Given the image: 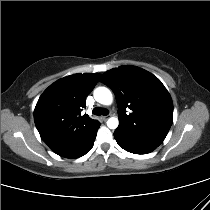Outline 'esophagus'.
<instances>
[{"label": "esophagus", "mask_w": 210, "mask_h": 210, "mask_svg": "<svg viewBox=\"0 0 210 210\" xmlns=\"http://www.w3.org/2000/svg\"><path fill=\"white\" fill-rule=\"evenodd\" d=\"M107 119H108V116H102V117H101V120H102V121H106Z\"/></svg>", "instance_id": "1"}]
</instances>
